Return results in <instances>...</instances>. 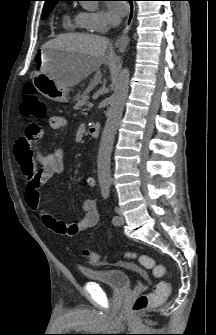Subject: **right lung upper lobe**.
<instances>
[{"label":"right lung upper lobe","instance_id":"right-lung-upper-lobe-1","mask_svg":"<svg viewBox=\"0 0 216 335\" xmlns=\"http://www.w3.org/2000/svg\"><path fill=\"white\" fill-rule=\"evenodd\" d=\"M44 1H45L44 6H47V5L57 4V2L60 0H44Z\"/></svg>","mask_w":216,"mask_h":335}]
</instances>
